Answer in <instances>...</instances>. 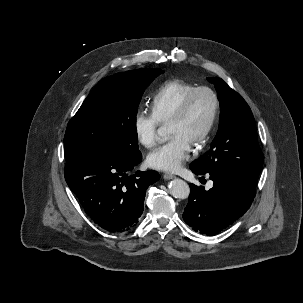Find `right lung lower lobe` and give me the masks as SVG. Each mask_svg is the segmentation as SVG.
Returning <instances> with one entry per match:
<instances>
[{
  "label": "right lung lower lobe",
  "mask_w": 303,
  "mask_h": 303,
  "mask_svg": "<svg viewBox=\"0 0 303 303\" xmlns=\"http://www.w3.org/2000/svg\"><path fill=\"white\" fill-rule=\"evenodd\" d=\"M141 159L128 160L98 146L66 159L69 188L91 219L110 232H125L137 224L146 190L159 179L155 171L128 176Z\"/></svg>",
  "instance_id": "right-lung-lower-lobe-1"
}]
</instances>
